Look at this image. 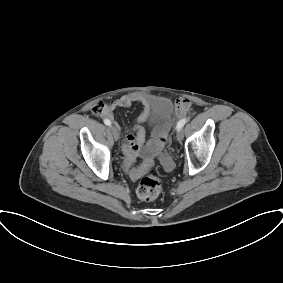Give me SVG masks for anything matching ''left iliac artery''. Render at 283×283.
Masks as SVG:
<instances>
[{
    "mask_svg": "<svg viewBox=\"0 0 283 283\" xmlns=\"http://www.w3.org/2000/svg\"><path fill=\"white\" fill-rule=\"evenodd\" d=\"M187 122V118H183L181 119L177 125H176V129L177 130H181L183 128V126L185 125V123Z\"/></svg>",
    "mask_w": 283,
    "mask_h": 283,
    "instance_id": "obj_1",
    "label": "left iliac artery"
}]
</instances>
